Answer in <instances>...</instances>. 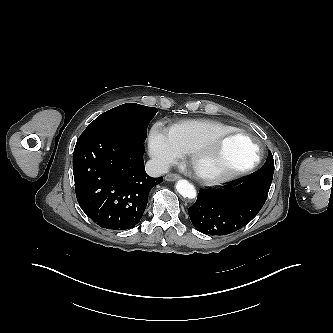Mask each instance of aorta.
I'll return each instance as SVG.
<instances>
[{
  "mask_svg": "<svg viewBox=\"0 0 333 333\" xmlns=\"http://www.w3.org/2000/svg\"><path fill=\"white\" fill-rule=\"evenodd\" d=\"M176 189L179 194L185 198L193 199L196 197V190L187 180L181 179L176 183Z\"/></svg>",
  "mask_w": 333,
  "mask_h": 333,
  "instance_id": "aorta-1",
  "label": "aorta"
}]
</instances>
